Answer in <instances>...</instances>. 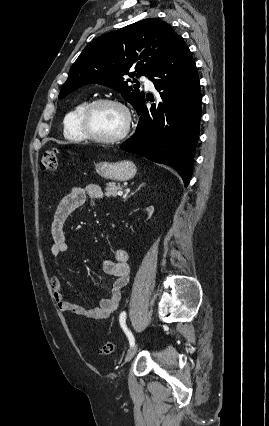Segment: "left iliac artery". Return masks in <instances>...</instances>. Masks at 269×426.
<instances>
[{
    "mask_svg": "<svg viewBox=\"0 0 269 426\" xmlns=\"http://www.w3.org/2000/svg\"><path fill=\"white\" fill-rule=\"evenodd\" d=\"M125 321H126V312L123 311L119 316V322H120V325H121L122 329L124 330L126 336L128 337L130 347H132L135 344V339H134V336L131 333V331L127 328Z\"/></svg>",
    "mask_w": 269,
    "mask_h": 426,
    "instance_id": "44dca946",
    "label": "left iliac artery"
}]
</instances>
